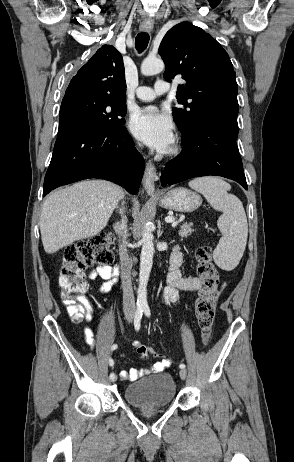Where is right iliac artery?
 <instances>
[{
  "label": "right iliac artery",
  "mask_w": 294,
  "mask_h": 462,
  "mask_svg": "<svg viewBox=\"0 0 294 462\" xmlns=\"http://www.w3.org/2000/svg\"><path fill=\"white\" fill-rule=\"evenodd\" d=\"M142 314H143V309L142 308H138L135 312V316H134V327H135V330H139L140 329V322H141V318H142ZM117 349V345L114 344L112 347H111V350L114 351ZM109 365L110 366H113L114 365V361L113 359H109ZM116 376L114 373H111L110 374V379H114Z\"/></svg>",
  "instance_id": "82829eb1"
}]
</instances>
